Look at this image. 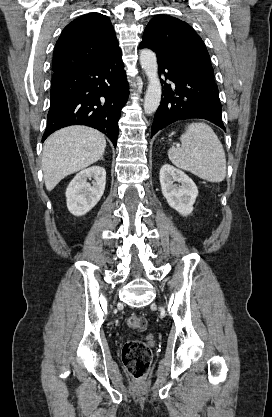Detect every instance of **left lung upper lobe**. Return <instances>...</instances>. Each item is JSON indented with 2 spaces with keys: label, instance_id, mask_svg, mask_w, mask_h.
<instances>
[{
  "label": "left lung upper lobe",
  "instance_id": "1",
  "mask_svg": "<svg viewBox=\"0 0 272 417\" xmlns=\"http://www.w3.org/2000/svg\"><path fill=\"white\" fill-rule=\"evenodd\" d=\"M140 47L152 49L157 61L185 66L214 79L204 42L184 21L168 15L155 16L145 28Z\"/></svg>",
  "mask_w": 272,
  "mask_h": 417
}]
</instances>
